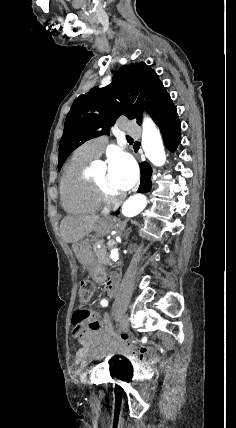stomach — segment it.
<instances>
[{
	"instance_id": "0dacf381",
	"label": "stomach",
	"mask_w": 236,
	"mask_h": 428,
	"mask_svg": "<svg viewBox=\"0 0 236 428\" xmlns=\"http://www.w3.org/2000/svg\"><path fill=\"white\" fill-rule=\"evenodd\" d=\"M95 236L96 240H100L102 236L107 234L108 230L102 222L98 224L97 228H95ZM72 250L80 260L81 264H83V268L87 269L88 274L90 275V280L92 283H95L98 287H101L105 281V270L104 263L100 262L96 256H94L91 246L90 240H80V242H75L72 244Z\"/></svg>"
}]
</instances>
